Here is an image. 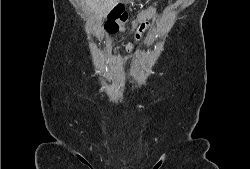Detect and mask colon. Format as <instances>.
<instances>
[{
	"mask_svg": "<svg viewBox=\"0 0 250 169\" xmlns=\"http://www.w3.org/2000/svg\"><path fill=\"white\" fill-rule=\"evenodd\" d=\"M137 31H136V39L139 41L142 39L148 23L144 18L138 19ZM128 21V12L125 10L123 6H117L113 8L107 17V21L105 24V29L109 33H116L122 31ZM127 50L130 53H136L139 50V45L136 42H130L127 45Z\"/></svg>",
	"mask_w": 250,
	"mask_h": 169,
	"instance_id": "colon-1",
	"label": "colon"
}]
</instances>
